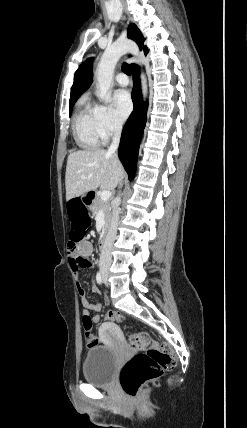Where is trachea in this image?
<instances>
[{"label":"trachea","mask_w":247,"mask_h":428,"mask_svg":"<svg viewBox=\"0 0 247 428\" xmlns=\"http://www.w3.org/2000/svg\"><path fill=\"white\" fill-rule=\"evenodd\" d=\"M122 70L125 74H127L128 76L131 75V69L130 66L127 63H123L122 65Z\"/></svg>","instance_id":"obj_1"}]
</instances>
